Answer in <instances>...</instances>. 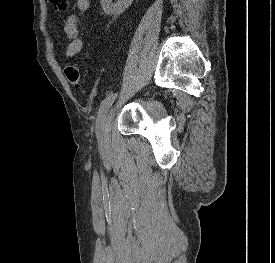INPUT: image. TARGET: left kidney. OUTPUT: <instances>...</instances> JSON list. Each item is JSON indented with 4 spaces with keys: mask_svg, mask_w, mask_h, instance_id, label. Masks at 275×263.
Here are the masks:
<instances>
[{
    "mask_svg": "<svg viewBox=\"0 0 275 263\" xmlns=\"http://www.w3.org/2000/svg\"><path fill=\"white\" fill-rule=\"evenodd\" d=\"M133 0H118L112 3V0H100L104 12L108 15H118L122 13Z\"/></svg>",
    "mask_w": 275,
    "mask_h": 263,
    "instance_id": "5707ae66",
    "label": "left kidney"
}]
</instances>
